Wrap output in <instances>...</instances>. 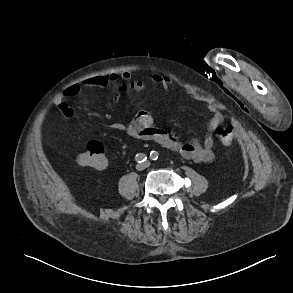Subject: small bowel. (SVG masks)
Listing matches in <instances>:
<instances>
[{"label": "small bowel", "mask_w": 293, "mask_h": 293, "mask_svg": "<svg viewBox=\"0 0 293 293\" xmlns=\"http://www.w3.org/2000/svg\"><path fill=\"white\" fill-rule=\"evenodd\" d=\"M151 80L153 83L165 89L174 85L171 78L158 73L153 74ZM111 83L117 84L121 92L126 91L129 87L137 90L143 89L144 87V83L141 80H132L131 75L127 72L122 73L120 77L116 75L93 77L86 80L84 85L87 87H105ZM80 89L81 86L79 84H72L54 98V105L67 118H71L74 115V110L67 104V100L77 95ZM187 93L192 98L201 100L198 95L190 91H187ZM118 99L119 96L114 97V101H118ZM208 109L212 113V116L208 124V134L202 142L197 139L189 142L178 140L170 132L156 127L152 115L148 112L138 113L127 125L114 122L111 124V127L116 131L126 132L135 139L154 141L165 148L178 152L184 158L191 159L195 162L209 163L215 157L213 150V132L223 122L224 118L216 108L209 106Z\"/></svg>", "instance_id": "obj_1"}]
</instances>
